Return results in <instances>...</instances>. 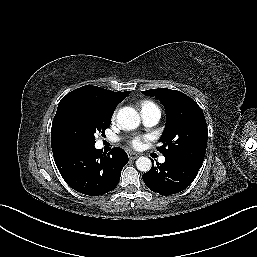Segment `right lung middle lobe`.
Returning <instances> with one entry per match:
<instances>
[{
  "mask_svg": "<svg viewBox=\"0 0 257 257\" xmlns=\"http://www.w3.org/2000/svg\"><path fill=\"white\" fill-rule=\"evenodd\" d=\"M56 114L62 130L58 137L51 139L52 148H72L94 146L95 133L104 135L113 113L94 100L73 96L59 103Z\"/></svg>",
  "mask_w": 257,
  "mask_h": 257,
  "instance_id": "obj_1",
  "label": "right lung middle lobe"
}]
</instances>
